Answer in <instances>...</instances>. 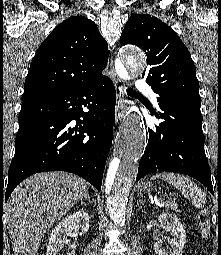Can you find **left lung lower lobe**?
<instances>
[{
  "label": "left lung lower lobe",
  "instance_id": "0a47b994",
  "mask_svg": "<svg viewBox=\"0 0 221 255\" xmlns=\"http://www.w3.org/2000/svg\"><path fill=\"white\" fill-rule=\"evenodd\" d=\"M159 108L155 116L163 122L154 130L148 129V146L140 159L136 181L157 170L179 172L197 179L213 194L201 113L172 103H161Z\"/></svg>",
  "mask_w": 221,
  "mask_h": 255
}]
</instances>
